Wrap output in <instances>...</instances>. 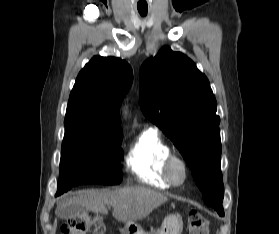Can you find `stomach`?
<instances>
[{
  "instance_id": "1",
  "label": "stomach",
  "mask_w": 279,
  "mask_h": 234,
  "mask_svg": "<svg viewBox=\"0 0 279 234\" xmlns=\"http://www.w3.org/2000/svg\"><path fill=\"white\" fill-rule=\"evenodd\" d=\"M183 230L182 217L176 214L167 215L157 234H181ZM122 234H147L136 222H127L121 229Z\"/></svg>"
}]
</instances>
